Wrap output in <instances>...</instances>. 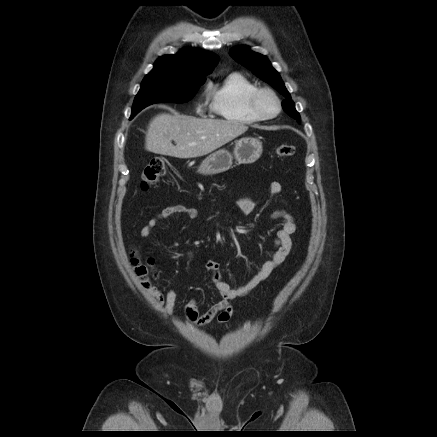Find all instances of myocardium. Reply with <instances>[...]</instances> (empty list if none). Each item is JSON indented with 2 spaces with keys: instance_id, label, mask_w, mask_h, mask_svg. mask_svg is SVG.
Wrapping results in <instances>:
<instances>
[{
  "instance_id": "myocardium-1",
  "label": "myocardium",
  "mask_w": 437,
  "mask_h": 437,
  "mask_svg": "<svg viewBox=\"0 0 437 437\" xmlns=\"http://www.w3.org/2000/svg\"><path fill=\"white\" fill-rule=\"evenodd\" d=\"M263 95H270L275 100L277 105V109L275 113L268 115L261 110L259 102ZM249 108L252 114L258 119L270 120L277 117L280 114L282 109V104L279 96L274 90L270 88H258L249 97Z\"/></svg>"
}]
</instances>
